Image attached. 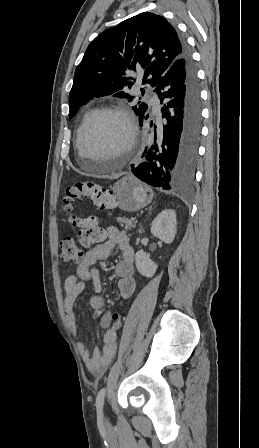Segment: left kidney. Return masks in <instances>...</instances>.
<instances>
[{
  "label": "left kidney",
  "instance_id": "left-kidney-1",
  "mask_svg": "<svg viewBox=\"0 0 259 448\" xmlns=\"http://www.w3.org/2000/svg\"><path fill=\"white\" fill-rule=\"evenodd\" d=\"M176 214L174 210H163L153 220L151 226V234L159 238L165 244H172L176 234ZM135 264L138 272L146 278H152L157 270V264L150 260L146 252H136Z\"/></svg>",
  "mask_w": 259,
  "mask_h": 448
}]
</instances>
